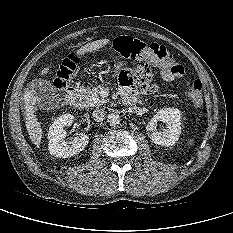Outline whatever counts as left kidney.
Returning <instances> with one entry per match:
<instances>
[{
    "mask_svg": "<svg viewBox=\"0 0 233 233\" xmlns=\"http://www.w3.org/2000/svg\"><path fill=\"white\" fill-rule=\"evenodd\" d=\"M165 123L163 130H157V122ZM148 137L157 145L170 147L176 143L181 133V113L176 108L160 109L146 126Z\"/></svg>",
    "mask_w": 233,
    "mask_h": 233,
    "instance_id": "obj_1",
    "label": "left kidney"
}]
</instances>
